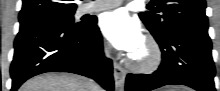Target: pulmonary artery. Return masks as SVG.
I'll list each match as a JSON object with an SVG mask.
<instances>
[{
	"mask_svg": "<svg viewBox=\"0 0 220 91\" xmlns=\"http://www.w3.org/2000/svg\"><path fill=\"white\" fill-rule=\"evenodd\" d=\"M123 1L121 0H98L88 6L85 11L88 13L98 12L102 10L111 9L119 6Z\"/></svg>",
	"mask_w": 220,
	"mask_h": 91,
	"instance_id": "obj_1",
	"label": "pulmonary artery"
}]
</instances>
